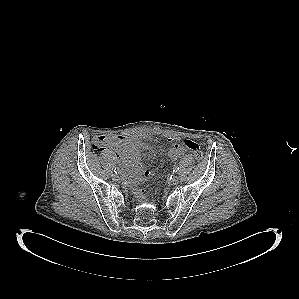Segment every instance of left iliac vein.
I'll return each instance as SVG.
<instances>
[{"label":"left iliac vein","mask_w":299,"mask_h":299,"mask_svg":"<svg viewBox=\"0 0 299 299\" xmlns=\"http://www.w3.org/2000/svg\"><path fill=\"white\" fill-rule=\"evenodd\" d=\"M179 180H180L179 176L175 175V176H173V178L171 179V184H172V185H177V184L179 183Z\"/></svg>","instance_id":"left-iliac-vein-1"}]
</instances>
